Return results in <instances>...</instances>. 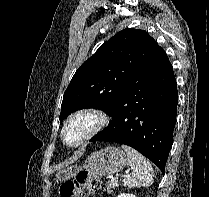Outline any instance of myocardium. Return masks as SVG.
Returning a JSON list of instances; mask_svg holds the SVG:
<instances>
[{
    "mask_svg": "<svg viewBox=\"0 0 209 197\" xmlns=\"http://www.w3.org/2000/svg\"><path fill=\"white\" fill-rule=\"evenodd\" d=\"M88 117L91 119L90 126L86 129V131L73 143H69L65 139L66 130L79 118ZM110 117L107 112L92 106L81 107L74 112H72L63 122V125L60 130V140L63 145L68 148H77L97 134H99L109 123Z\"/></svg>",
    "mask_w": 209,
    "mask_h": 197,
    "instance_id": "1",
    "label": "myocardium"
}]
</instances>
